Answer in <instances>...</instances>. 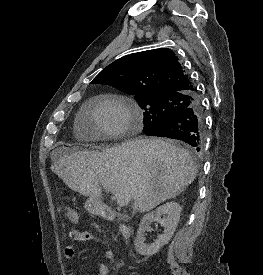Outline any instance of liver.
I'll list each match as a JSON object with an SVG mask.
<instances>
[{"mask_svg":"<svg viewBox=\"0 0 263 275\" xmlns=\"http://www.w3.org/2000/svg\"><path fill=\"white\" fill-rule=\"evenodd\" d=\"M51 170L73 191L101 197V183L134 201L133 212H148L174 198L196 178L187 150L163 139L136 138L99 151L61 150Z\"/></svg>","mask_w":263,"mask_h":275,"instance_id":"6515ba94","label":"liver"}]
</instances>
